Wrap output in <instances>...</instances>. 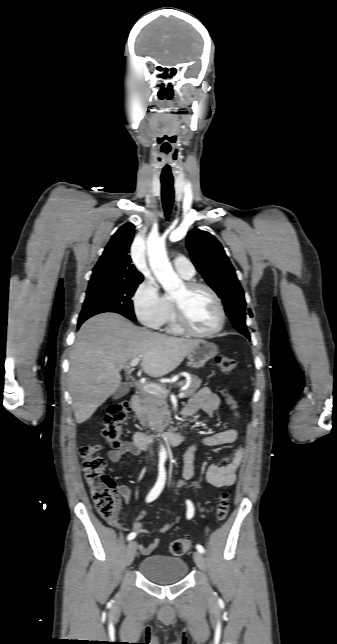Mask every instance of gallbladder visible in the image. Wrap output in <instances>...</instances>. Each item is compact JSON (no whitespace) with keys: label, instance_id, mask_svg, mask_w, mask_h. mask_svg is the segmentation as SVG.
Returning <instances> with one entry per match:
<instances>
[{"label":"gallbladder","instance_id":"1","mask_svg":"<svg viewBox=\"0 0 337 644\" xmlns=\"http://www.w3.org/2000/svg\"><path fill=\"white\" fill-rule=\"evenodd\" d=\"M129 392V386L126 383H122L120 387L113 394L114 399H119L125 396Z\"/></svg>","mask_w":337,"mask_h":644}]
</instances>
